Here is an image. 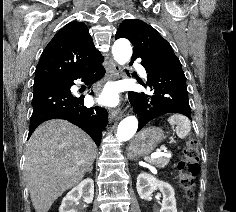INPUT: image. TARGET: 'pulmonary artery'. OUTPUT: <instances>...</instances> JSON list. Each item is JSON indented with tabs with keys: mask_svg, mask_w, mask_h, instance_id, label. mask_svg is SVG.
I'll list each match as a JSON object with an SVG mask.
<instances>
[{
	"mask_svg": "<svg viewBox=\"0 0 236 212\" xmlns=\"http://www.w3.org/2000/svg\"><path fill=\"white\" fill-rule=\"evenodd\" d=\"M136 69L138 70L141 76L146 77V71L142 66L136 64Z\"/></svg>",
	"mask_w": 236,
	"mask_h": 212,
	"instance_id": "e3ab8cb5",
	"label": "pulmonary artery"
}]
</instances>
